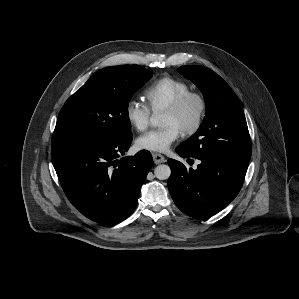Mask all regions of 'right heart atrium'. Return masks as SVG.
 <instances>
[{"label": "right heart atrium", "instance_id": "d8ad5b80", "mask_svg": "<svg viewBox=\"0 0 299 299\" xmlns=\"http://www.w3.org/2000/svg\"><path fill=\"white\" fill-rule=\"evenodd\" d=\"M125 117L135 130L144 131L149 126L151 111L145 104L130 99L125 105Z\"/></svg>", "mask_w": 299, "mask_h": 299}]
</instances>
